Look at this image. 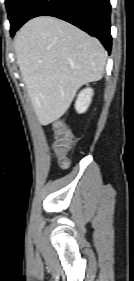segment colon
<instances>
[{"label":"colon","instance_id":"colon-1","mask_svg":"<svg viewBox=\"0 0 134 281\" xmlns=\"http://www.w3.org/2000/svg\"><path fill=\"white\" fill-rule=\"evenodd\" d=\"M54 142L53 151L56 155L59 165L67 167L69 164L68 154L74 144V134L72 130L63 122L55 121L53 123Z\"/></svg>","mask_w":134,"mask_h":281}]
</instances>
